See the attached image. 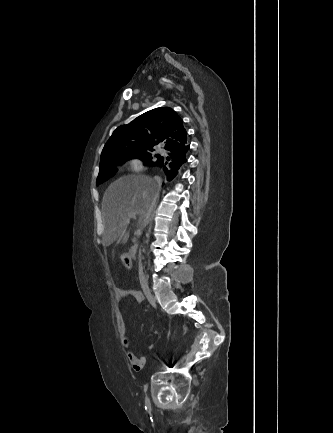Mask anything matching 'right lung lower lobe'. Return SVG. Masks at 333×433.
Masks as SVG:
<instances>
[{"mask_svg":"<svg viewBox=\"0 0 333 433\" xmlns=\"http://www.w3.org/2000/svg\"><path fill=\"white\" fill-rule=\"evenodd\" d=\"M190 149V145L179 147L175 150H170L171 159H165L163 157L156 163L158 167L165 175L168 181H171L179 172L182 165L187 162V152Z\"/></svg>","mask_w":333,"mask_h":433,"instance_id":"obj_1","label":"right lung lower lobe"}]
</instances>
